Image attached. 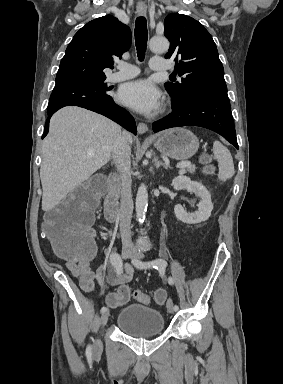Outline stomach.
<instances>
[{
  "instance_id": "stomach-1",
  "label": "stomach",
  "mask_w": 283,
  "mask_h": 384,
  "mask_svg": "<svg viewBox=\"0 0 283 384\" xmlns=\"http://www.w3.org/2000/svg\"><path fill=\"white\" fill-rule=\"evenodd\" d=\"M154 142L155 148L174 160H189L196 154L199 148V142L189 130L183 128H172L166 130L158 140L150 138Z\"/></svg>"
}]
</instances>
